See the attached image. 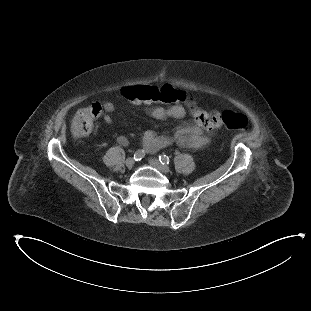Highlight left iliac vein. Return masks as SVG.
<instances>
[{
  "label": "left iliac vein",
  "instance_id": "1",
  "mask_svg": "<svg viewBox=\"0 0 311 311\" xmlns=\"http://www.w3.org/2000/svg\"><path fill=\"white\" fill-rule=\"evenodd\" d=\"M149 164L155 168H157L159 171H161L162 173L168 174L170 173V168L159 162V160L151 158L149 159Z\"/></svg>",
  "mask_w": 311,
  "mask_h": 311
}]
</instances>
